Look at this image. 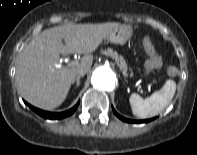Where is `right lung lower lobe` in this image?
I'll use <instances>...</instances> for the list:
<instances>
[{
    "label": "right lung lower lobe",
    "mask_w": 197,
    "mask_h": 155,
    "mask_svg": "<svg viewBox=\"0 0 197 155\" xmlns=\"http://www.w3.org/2000/svg\"><path fill=\"white\" fill-rule=\"evenodd\" d=\"M26 104L29 108H31L34 112H36L38 115H40L43 118H46V119H62V118L68 117L71 114H73L76 111V109L79 105V102L73 108H71V109H69L65 112H61V113H53V112L43 111V110H40L38 108L33 107L32 105H30L28 103H26Z\"/></svg>",
    "instance_id": "right-lung-lower-lobe-1"
}]
</instances>
